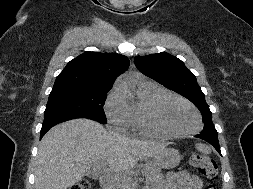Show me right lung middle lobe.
Here are the masks:
<instances>
[{"label": "right lung middle lobe", "mask_w": 253, "mask_h": 189, "mask_svg": "<svg viewBox=\"0 0 253 189\" xmlns=\"http://www.w3.org/2000/svg\"><path fill=\"white\" fill-rule=\"evenodd\" d=\"M110 87L53 88L44 120L60 117L89 118L106 124L103 106Z\"/></svg>", "instance_id": "obj_1"}]
</instances>
